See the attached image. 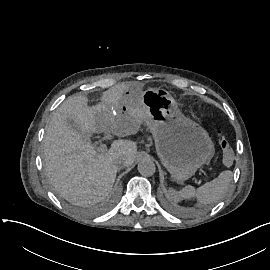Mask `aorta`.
<instances>
[{
	"label": "aorta",
	"instance_id": "aorta-1",
	"mask_svg": "<svg viewBox=\"0 0 270 270\" xmlns=\"http://www.w3.org/2000/svg\"><path fill=\"white\" fill-rule=\"evenodd\" d=\"M138 171L144 177H151L156 171V166L152 160L142 159L138 164Z\"/></svg>",
	"mask_w": 270,
	"mask_h": 270
}]
</instances>
